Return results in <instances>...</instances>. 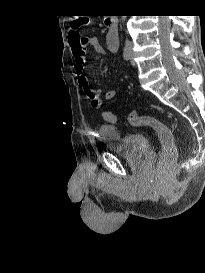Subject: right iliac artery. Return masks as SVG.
<instances>
[{
  "label": "right iliac artery",
  "instance_id": "82829eb1",
  "mask_svg": "<svg viewBox=\"0 0 205 273\" xmlns=\"http://www.w3.org/2000/svg\"><path fill=\"white\" fill-rule=\"evenodd\" d=\"M123 57L126 61H129V59H130L129 50L126 46L123 49Z\"/></svg>",
  "mask_w": 205,
  "mask_h": 273
}]
</instances>
